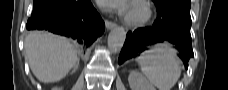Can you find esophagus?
I'll use <instances>...</instances> for the list:
<instances>
[{
    "instance_id": "34e87169",
    "label": "esophagus",
    "mask_w": 228,
    "mask_h": 90,
    "mask_svg": "<svg viewBox=\"0 0 228 90\" xmlns=\"http://www.w3.org/2000/svg\"><path fill=\"white\" fill-rule=\"evenodd\" d=\"M105 25H106V28L108 30H111V29L116 27V24L114 22H111V21H108V20L105 21Z\"/></svg>"
}]
</instances>
